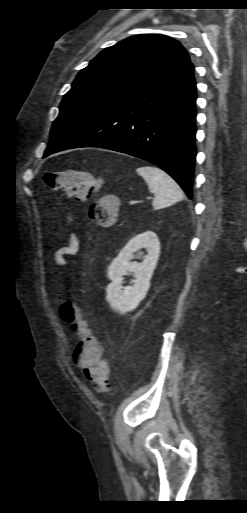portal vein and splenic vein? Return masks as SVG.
Segmentation results:
<instances>
[{
  "instance_id": "18ae733b",
  "label": "portal vein and splenic vein",
  "mask_w": 247,
  "mask_h": 513,
  "mask_svg": "<svg viewBox=\"0 0 247 513\" xmlns=\"http://www.w3.org/2000/svg\"><path fill=\"white\" fill-rule=\"evenodd\" d=\"M136 203V201H130V205H134Z\"/></svg>"
}]
</instances>
